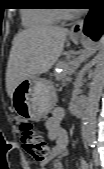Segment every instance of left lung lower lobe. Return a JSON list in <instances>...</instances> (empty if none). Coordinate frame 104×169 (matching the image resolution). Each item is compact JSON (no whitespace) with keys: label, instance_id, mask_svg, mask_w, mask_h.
<instances>
[{"label":"left lung lower lobe","instance_id":"0a47b994","mask_svg":"<svg viewBox=\"0 0 104 169\" xmlns=\"http://www.w3.org/2000/svg\"><path fill=\"white\" fill-rule=\"evenodd\" d=\"M84 34L97 41L104 31V11L93 8L88 13L83 28Z\"/></svg>","mask_w":104,"mask_h":169}]
</instances>
